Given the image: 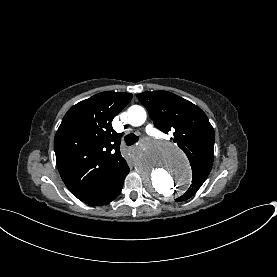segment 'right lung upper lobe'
Segmentation results:
<instances>
[{
    "label": "right lung upper lobe",
    "instance_id": "1",
    "mask_svg": "<svg viewBox=\"0 0 277 277\" xmlns=\"http://www.w3.org/2000/svg\"><path fill=\"white\" fill-rule=\"evenodd\" d=\"M132 94L102 92L72 106L54 140L56 163L67 188L88 199L113 182L127 165L120 153L121 136L112 120Z\"/></svg>",
    "mask_w": 277,
    "mask_h": 277
}]
</instances>
